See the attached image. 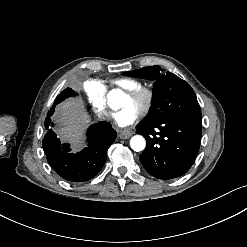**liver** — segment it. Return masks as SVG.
<instances>
[{"mask_svg":"<svg viewBox=\"0 0 247 247\" xmlns=\"http://www.w3.org/2000/svg\"><path fill=\"white\" fill-rule=\"evenodd\" d=\"M73 89L80 90L76 86H73ZM54 118L63 126L56 130L62 140L70 141L73 152L79 151L84 146L83 132L91 121L83 102L72 98L63 101L57 106Z\"/></svg>","mask_w":247,"mask_h":247,"instance_id":"6515ba94","label":"liver"}]
</instances>
